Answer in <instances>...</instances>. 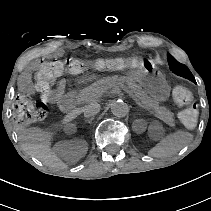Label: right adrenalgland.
<instances>
[{"mask_svg": "<svg viewBox=\"0 0 211 211\" xmlns=\"http://www.w3.org/2000/svg\"><path fill=\"white\" fill-rule=\"evenodd\" d=\"M94 120V118L92 117V118H90L89 120H86L85 122L86 123H89V124H92V121Z\"/></svg>", "mask_w": 211, "mask_h": 211, "instance_id": "2a0ac1e0", "label": "right adrenal gland"}]
</instances>
